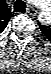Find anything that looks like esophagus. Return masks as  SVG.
Returning a JSON list of instances; mask_svg holds the SVG:
<instances>
[{
  "label": "esophagus",
  "instance_id": "1",
  "mask_svg": "<svg viewBox=\"0 0 51 74\" xmlns=\"http://www.w3.org/2000/svg\"><path fill=\"white\" fill-rule=\"evenodd\" d=\"M27 13H28L29 15L34 16V15H36L37 11H36L34 8H29V9L27 10Z\"/></svg>",
  "mask_w": 51,
  "mask_h": 74
}]
</instances>
